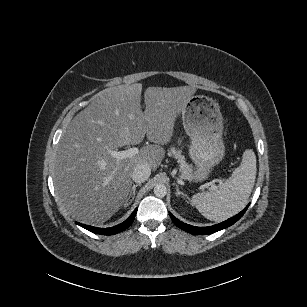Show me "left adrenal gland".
<instances>
[{
  "label": "left adrenal gland",
  "instance_id": "a2214340",
  "mask_svg": "<svg viewBox=\"0 0 307 307\" xmlns=\"http://www.w3.org/2000/svg\"><path fill=\"white\" fill-rule=\"evenodd\" d=\"M173 184L175 185V188H176V191H175V194L178 195V194H183L185 196H188L186 193H184L183 191H181L179 189V185L176 183V182H173Z\"/></svg>",
  "mask_w": 307,
  "mask_h": 307
}]
</instances>
